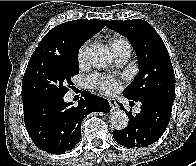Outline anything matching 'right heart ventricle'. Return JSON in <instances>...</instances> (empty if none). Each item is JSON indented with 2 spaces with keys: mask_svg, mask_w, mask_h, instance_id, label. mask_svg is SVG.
<instances>
[{
  "mask_svg": "<svg viewBox=\"0 0 196 166\" xmlns=\"http://www.w3.org/2000/svg\"><path fill=\"white\" fill-rule=\"evenodd\" d=\"M121 45H129L128 42L123 39V38H119V37H115L112 39L111 41V46H112V49L114 50L115 48H117L118 46H121Z\"/></svg>",
  "mask_w": 196,
  "mask_h": 166,
  "instance_id": "1",
  "label": "right heart ventricle"
}]
</instances>
